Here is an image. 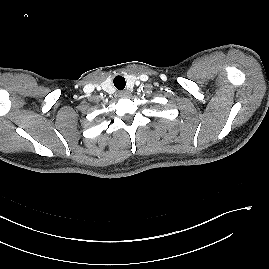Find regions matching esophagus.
Masks as SVG:
<instances>
[{
  "mask_svg": "<svg viewBox=\"0 0 269 269\" xmlns=\"http://www.w3.org/2000/svg\"><path fill=\"white\" fill-rule=\"evenodd\" d=\"M119 96L121 98H127L129 96V92L128 91H120Z\"/></svg>",
  "mask_w": 269,
  "mask_h": 269,
  "instance_id": "obj_1",
  "label": "esophagus"
}]
</instances>
